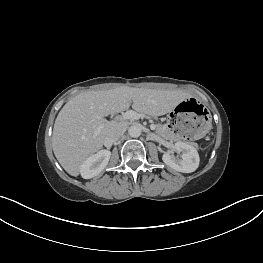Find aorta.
<instances>
[{
	"label": "aorta",
	"mask_w": 263,
	"mask_h": 263,
	"mask_svg": "<svg viewBox=\"0 0 263 263\" xmlns=\"http://www.w3.org/2000/svg\"><path fill=\"white\" fill-rule=\"evenodd\" d=\"M141 133H142V128L138 124H134V125L130 126L128 129V134L133 138L139 137L141 135Z\"/></svg>",
	"instance_id": "1"
}]
</instances>
